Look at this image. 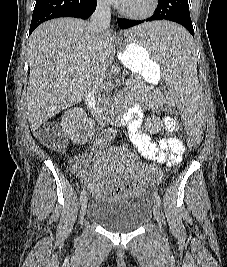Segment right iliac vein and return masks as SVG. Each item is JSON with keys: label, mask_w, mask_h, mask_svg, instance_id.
I'll use <instances>...</instances> for the list:
<instances>
[{"label": "right iliac vein", "mask_w": 227, "mask_h": 267, "mask_svg": "<svg viewBox=\"0 0 227 267\" xmlns=\"http://www.w3.org/2000/svg\"><path fill=\"white\" fill-rule=\"evenodd\" d=\"M87 211V198L85 197L81 203L80 221L83 222Z\"/></svg>", "instance_id": "right-iliac-vein-1"}]
</instances>
